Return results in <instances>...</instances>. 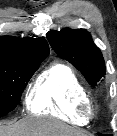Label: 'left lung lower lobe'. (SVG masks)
<instances>
[{"instance_id": "left-lung-lower-lobe-1", "label": "left lung lower lobe", "mask_w": 117, "mask_h": 136, "mask_svg": "<svg viewBox=\"0 0 117 136\" xmlns=\"http://www.w3.org/2000/svg\"><path fill=\"white\" fill-rule=\"evenodd\" d=\"M98 135H100V136H104L103 134H100V133H98Z\"/></svg>"}]
</instances>
